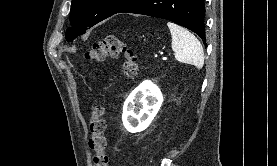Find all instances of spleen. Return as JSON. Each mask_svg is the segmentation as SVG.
Listing matches in <instances>:
<instances>
[{
    "label": "spleen",
    "instance_id": "1",
    "mask_svg": "<svg viewBox=\"0 0 277 166\" xmlns=\"http://www.w3.org/2000/svg\"><path fill=\"white\" fill-rule=\"evenodd\" d=\"M172 36V50L179 62L191 64L201 69L204 65V52L199 40L185 28L167 23Z\"/></svg>",
    "mask_w": 277,
    "mask_h": 166
}]
</instances>
